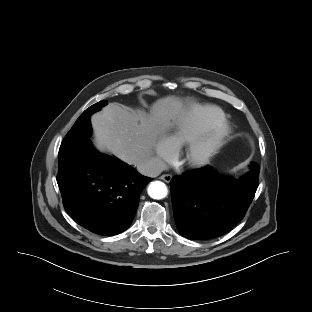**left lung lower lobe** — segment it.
Listing matches in <instances>:
<instances>
[{
    "instance_id": "0a47b994",
    "label": "left lung lower lobe",
    "mask_w": 312,
    "mask_h": 312,
    "mask_svg": "<svg viewBox=\"0 0 312 312\" xmlns=\"http://www.w3.org/2000/svg\"><path fill=\"white\" fill-rule=\"evenodd\" d=\"M251 167V166H250ZM260 166L238 179L222 177L209 166L175 176L170 182L179 233L205 240L224 235L243 217L258 188Z\"/></svg>"
}]
</instances>
